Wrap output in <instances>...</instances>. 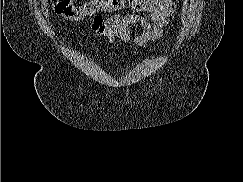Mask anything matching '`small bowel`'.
Listing matches in <instances>:
<instances>
[{"label":"small bowel","instance_id":"1","mask_svg":"<svg viewBox=\"0 0 243 182\" xmlns=\"http://www.w3.org/2000/svg\"><path fill=\"white\" fill-rule=\"evenodd\" d=\"M130 9L131 12L109 17L95 16L91 24L92 31L114 45L116 40L129 42L131 27L139 24L142 32L136 36L135 44L144 47L164 35L175 11V3L173 0H131Z\"/></svg>","mask_w":243,"mask_h":182}]
</instances>
